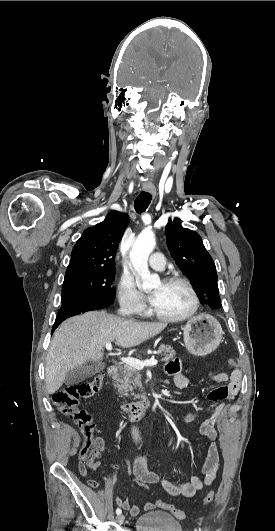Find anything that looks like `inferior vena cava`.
<instances>
[{
	"instance_id": "602c4592",
	"label": "inferior vena cava",
	"mask_w": 275,
	"mask_h": 531,
	"mask_svg": "<svg viewBox=\"0 0 275 531\" xmlns=\"http://www.w3.org/2000/svg\"><path fill=\"white\" fill-rule=\"evenodd\" d=\"M131 437L134 441V443H140L141 437H140V431L138 427H132L131 429Z\"/></svg>"
}]
</instances>
